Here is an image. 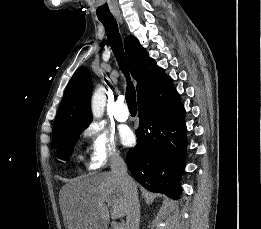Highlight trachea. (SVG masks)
<instances>
[{"label": "trachea", "instance_id": "trachea-1", "mask_svg": "<svg viewBox=\"0 0 261 229\" xmlns=\"http://www.w3.org/2000/svg\"><path fill=\"white\" fill-rule=\"evenodd\" d=\"M98 19L105 27L108 42L115 54L120 70H122L127 78L126 102L130 112L135 113L137 111L136 92L126 67V60L122 47V39L118 31V25L115 18L112 16L98 17Z\"/></svg>", "mask_w": 261, "mask_h": 229}]
</instances>
